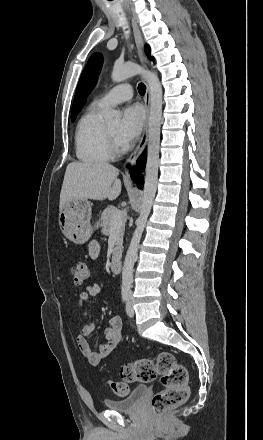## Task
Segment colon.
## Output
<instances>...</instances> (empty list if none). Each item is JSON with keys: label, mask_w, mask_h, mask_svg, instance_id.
I'll return each mask as SVG.
<instances>
[{"label": "colon", "mask_w": 263, "mask_h": 440, "mask_svg": "<svg viewBox=\"0 0 263 440\" xmlns=\"http://www.w3.org/2000/svg\"><path fill=\"white\" fill-rule=\"evenodd\" d=\"M76 285L84 284L90 277V268L84 263L68 265ZM120 376L128 382L149 383L159 375L163 389L156 393L150 402L151 411L161 414L169 409L182 405L188 398V372L184 365L178 363L171 352L162 351L154 360L143 358L129 362L120 368ZM107 385L119 396L129 392L126 383L108 381Z\"/></svg>", "instance_id": "5ec220e1"}]
</instances>
